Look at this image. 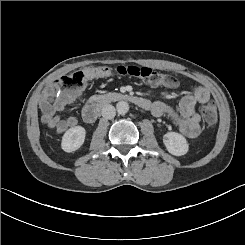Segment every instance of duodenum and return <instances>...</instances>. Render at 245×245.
<instances>
[{
    "label": "duodenum",
    "mask_w": 245,
    "mask_h": 245,
    "mask_svg": "<svg viewBox=\"0 0 245 245\" xmlns=\"http://www.w3.org/2000/svg\"><path fill=\"white\" fill-rule=\"evenodd\" d=\"M117 101H128L145 110L152 108V103L143 97L125 93H108L93 97L85 105L82 111L84 121L93 123L99 117L101 110L106 105Z\"/></svg>",
    "instance_id": "1"
}]
</instances>
